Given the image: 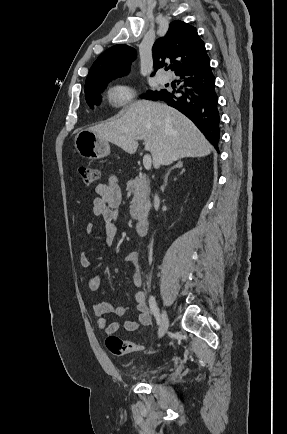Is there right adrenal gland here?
<instances>
[{
  "instance_id": "2a0ac1e0",
  "label": "right adrenal gland",
  "mask_w": 287,
  "mask_h": 434,
  "mask_svg": "<svg viewBox=\"0 0 287 434\" xmlns=\"http://www.w3.org/2000/svg\"><path fill=\"white\" fill-rule=\"evenodd\" d=\"M183 167V162L182 161H178L173 167H171L170 169H169V171L166 173V175H165V178H164V184H163V186H162V189L164 190V188L166 187V185H167V181H168V176H169V174H170V172L173 170V169H175V168H182ZM182 171H184V169H182Z\"/></svg>"
}]
</instances>
